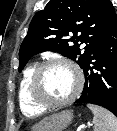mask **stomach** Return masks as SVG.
Returning <instances> with one entry per match:
<instances>
[{
  "label": "stomach",
  "mask_w": 117,
  "mask_h": 131,
  "mask_svg": "<svg viewBox=\"0 0 117 131\" xmlns=\"http://www.w3.org/2000/svg\"><path fill=\"white\" fill-rule=\"evenodd\" d=\"M73 114L69 110L44 118L31 127L32 131H63L72 122Z\"/></svg>",
  "instance_id": "obj_1"
}]
</instances>
